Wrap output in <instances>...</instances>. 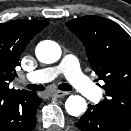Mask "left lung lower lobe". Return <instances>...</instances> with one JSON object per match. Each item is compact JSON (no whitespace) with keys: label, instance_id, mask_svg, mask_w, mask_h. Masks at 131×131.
Instances as JSON below:
<instances>
[{"label":"left lung lower lobe","instance_id":"left-lung-lower-lobe-1","mask_svg":"<svg viewBox=\"0 0 131 131\" xmlns=\"http://www.w3.org/2000/svg\"><path fill=\"white\" fill-rule=\"evenodd\" d=\"M80 131H129L114 114L98 105H88L86 113L75 123Z\"/></svg>","mask_w":131,"mask_h":131}]
</instances>
